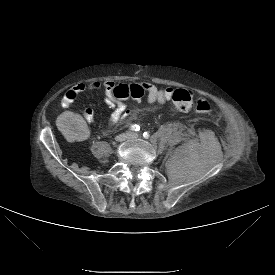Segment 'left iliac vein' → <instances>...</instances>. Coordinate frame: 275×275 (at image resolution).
I'll return each mask as SVG.
<instances>
[{"instance_id":"4c4485c4","label":"left iliac vein","mask_w":275,"mask_h":275,"mask_svg":"<svg viewBox=\"0 0 275 275\" xmlns=\"http://www.w3.org/2000/svg\"><path fill=\"white\" fill-rule=\"evenodd\" d=\"M138 137H139V135L137 133H131L130 134V138H132V139H136Z\"/></svg>"}]
</instances>
